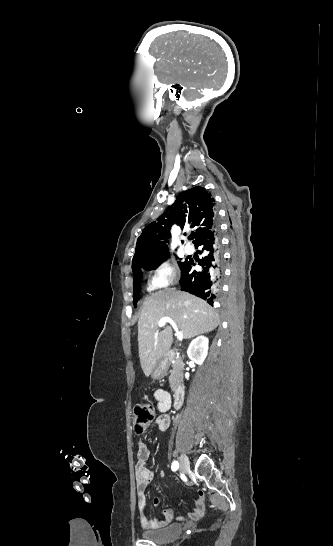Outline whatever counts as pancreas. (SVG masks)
Returning <instances> with one entry per match:
<instances>
[{
	"label": "pancreas",
	"mask_w": 333,
	"mask_h": 546,
	"mask_svg": "<svg viewBox=\"0 0 333 546\" xmlns=\"http://www.w3.org/2000/svg\"><path fill=\"white\" fill-rule=\"evenodd\" d=\"M171 365L173 370L171 371V374L169 376V382L172 391H175L182 382L183 361L180 357H176Z\"/></svg>",
	"instance_id": "pancreas-1"
}]
</instances>
